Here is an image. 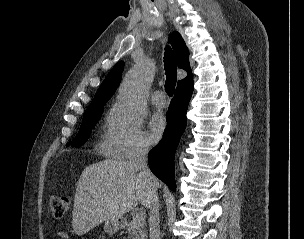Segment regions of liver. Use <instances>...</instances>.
Returning <instances> with one entry per match:
<instances>
[{
  "label": "liver",
  "mask_w": 304,
  "mask_h": 239,
  "mask_svg": "<svg viewBox=\"0 0 304 239\" xmlns=\"http://www.w3.org/2000/svg\"><path fill=\"white\" fill-rule=\"evenodd\" d=\"M137 171L129 161L111 159L83 170L73 208L72 225L77 235L89 232L106 220L121 218L138 203L148 207L150 190Z\"/></svg>",
  "instance_id": "6515ba94"
}]
</instances>
